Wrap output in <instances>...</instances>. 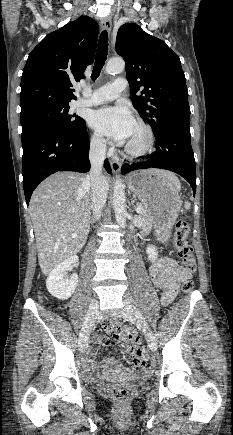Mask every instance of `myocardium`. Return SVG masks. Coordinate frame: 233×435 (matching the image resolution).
Instances as JSON below:
<instances>
[{
	"label": "myocardium",
	"instance_id": "obj_1",
	"mask_svg": "<svg viewBox=\"0 0 233 435\" xmlns=\"http://www.w3.org/2000/svg\"><path fill=\"white\" fill-rule=\"evenodd\" d=\"M134 122L136 126L140 127L144 131L146 140L144 144L137 149H133L129 146L123 147L122 154L130 159L139 158L146 155L152 149L155 141L154 132L147 123L142 120H136Z\"/></svg>",
	"mask_w": 233,
	"mask_h": 435
}]
</instances>
